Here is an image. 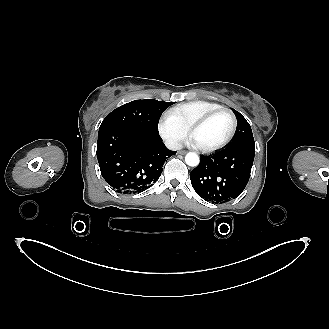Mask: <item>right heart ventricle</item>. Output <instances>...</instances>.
Here are the masks:
<instances>
[{
  "instance_id": "1",
  "label": "right heart ventricle",
  "mask_w": 329,
  "mask_h": 329,
  "mask_svg": "<svg viewBox=\"0 0 329 329\" xmlns=\"http://www.w3.org/2000/svg\"><path fill=\"white\" fill-rule=\"evenodd\" d=\"M223 107L221 104L205 100H196L179 104L168 113L182 124L187 130L190 125L207 113Z\"/></svg>"
}]
</instances>
